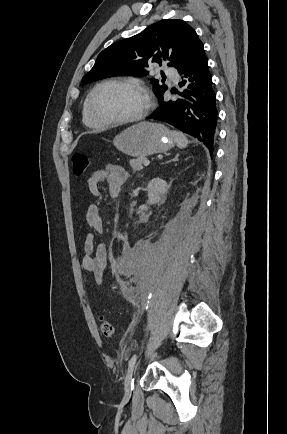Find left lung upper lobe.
I'll use <instances>...</instances> for the list:
<instances>
[{"instance_id":"left-lung-upper-lobe-1","label":"left lung upper lobe","mask_w":287,"mask_h":434,"mask_svg":"<svg viewBox=\"0 0 287 434\" xmlns=\"http://www.w3.org/2000/svg\"><path fill=\"white\" fill-rule=\"evenodd\" d=\"M204 53L196 32L182 20L164 19L143 32L118 41L103 50L83 83L118 75L141 76L151 63L166 62L177 70ZM153 90L160 99L167 86L152 79Z\"/></svg>"}]
</instances>
